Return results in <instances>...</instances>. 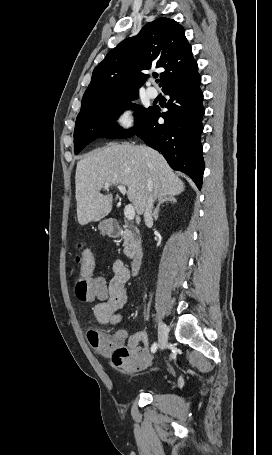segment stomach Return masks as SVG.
Returning a JSON list of instances; mask_svg holds the SVG:
<instances>
[{"instance_id":"0dacf381","label":"stomach","mask_w":272,"mask_h":455,"mask_svg":"<svg viewBox=\"0 0 272 455\" xmlns=\"http://www.w3.org/2000/svg\"><path fill=\"white\" fill-rule=\"evenodd\" d=\"M99 229L101 233L107 234L111 230V222L109 220H104L100 223Z\"/></svg>"}]
</instances>
